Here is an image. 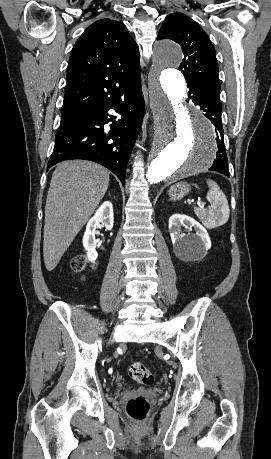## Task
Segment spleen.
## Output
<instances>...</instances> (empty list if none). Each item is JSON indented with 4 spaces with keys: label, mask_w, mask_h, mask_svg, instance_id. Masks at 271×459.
Returning a JSON list of instances; mask_svg holds the SVG:
<instances>
[{
    "label": "spleen",
    "mask_w": 271,
    "mask_h": 459,
    "mask_svg": "<svg viewBox=\"0 0 271 459\" xmlns=\"http://www.w3.org/2000/svg\"><path fill=\"white\" fill-rule=\"evenodd\" d=\"M209 192H207V200L211 204L209 210H201V208H194V212L200 218L205 228H218L223 226L229 220L230 210L225 194L217 186L216 182L207 180Z\"/></svg>",
    "instance_id": "3e777b00"
}]
</instances>
